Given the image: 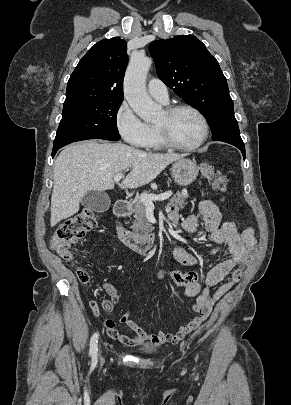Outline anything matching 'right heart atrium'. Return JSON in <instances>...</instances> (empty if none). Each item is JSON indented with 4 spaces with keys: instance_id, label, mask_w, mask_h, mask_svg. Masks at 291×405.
<instances>
[{
    "instance_id": "right-heart-atrium-1",
    "label": "right heart atrium",
    "mask_w": 291,
    "mask_h": 405,
    "mask_svg": "<svg viewBox=\"0 0 291 405\" xmlns=\"http://www.w3.org/2000/svg\"><path fill=\"white\" fill-rule=\"evenodd\" d=\"M116 128L125 142L135 147H146L152 134L128 103L122 102L115 114Z\"/></svg>"
}]
</instances>
